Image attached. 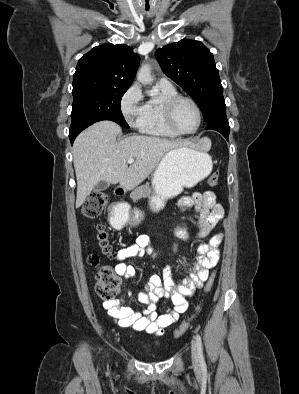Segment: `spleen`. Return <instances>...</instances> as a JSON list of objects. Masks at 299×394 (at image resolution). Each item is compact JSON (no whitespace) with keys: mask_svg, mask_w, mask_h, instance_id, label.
I'll return each mask as SVG.
<instances>
[{"mask_svg":"<svg viewBox=\"0 0 299 394\" xmlns=\"http://www.w3.org/2000/svg\"><path fill=\"white\" fill-rule=\"evenodd\" d=\"M208 142V147L210 146V141H207Z\"/></svg>","mask_w":299,"mask_h":394,"instance_id":"1","label":"spleen"}]
</instances>
